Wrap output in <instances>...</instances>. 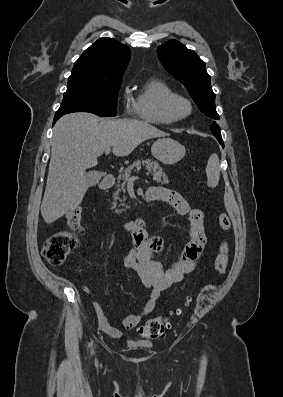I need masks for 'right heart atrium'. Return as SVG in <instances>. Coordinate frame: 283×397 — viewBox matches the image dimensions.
<instances>
[{
    "mask_svg": "<svg viewBox=\"0 0 283 397\" xmlns=\"http://www.w3.org/2000/svg\"><path fill=\"white\" fill-rule=\"evenodd\" d=\"M122 105L125 115L132 116L137 113L136 103L133 97L127 92L122 93Z\"/></svg>",
    "mask_w": 283,
    "mask_h": 397,
    "instance_id": "1",
    "label": "right heart atrium"
}]
</instances>
